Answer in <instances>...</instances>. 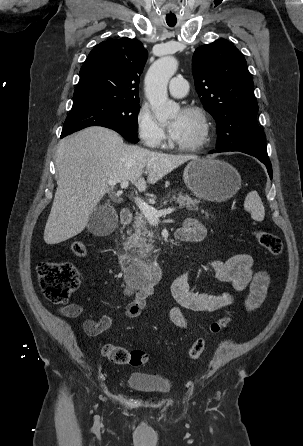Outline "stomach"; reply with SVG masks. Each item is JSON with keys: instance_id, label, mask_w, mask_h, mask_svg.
<instances>
[{"instance_id": "0dacf381", "label": "stomach", "mask_w": 303, "mask_h": 446, "mask_svg": "<svg viewBox=\"0 0 303 446\" xmlns=\"http://www.w3.org/2000/svg\"><path fill=\"white\" fill-rule=\"evenodd\" d=\"M183 179L196 197L212 202L230 199L241 187L238 171L232 165L212 158L191 160Z\"/></svg>"}]
</instances>
